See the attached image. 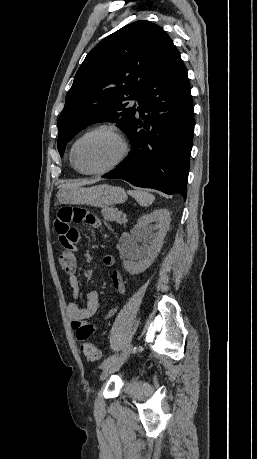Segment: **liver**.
I'll return each mask as SVG.
<instances>
[{
    "label": "liver",
    "mask_w": 257,
    "mask_h": 459,
    "mask_svg": "<svg viewBox=\"0 0 257 459\" xmlns=\"http://www.w3.org/2000/svg\"><path fill=\"white\" fill-rule=\"evenodd\" d=\"M95 182H97V180L74 181V182H69V183L60 185L59 189L72 188V187H77V186H84V185L94 184Z\"/></svg>",
    "instance_id": "obj_1"
}]
</instances>
